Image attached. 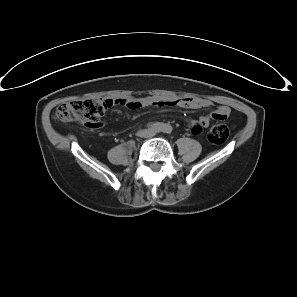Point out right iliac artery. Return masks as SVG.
Masks as SVG:
<instances>
[{
  "instance_id": "82829eb1",
  "label": "right iliac artery",
  "mask_w": 297,
  "mask_h": 297,
  "mask_svg": "<svg viewBox=\"0 0 297 297\" xmlns=\"http://www.w3.org/2000/svg\"><path fill=\"white\" fill-rule=\"evenodd\" d=\"M154 127H155L157 130L161 131V130L164 129V124L161 123V122H157V123L154 124Z\"/></svg>"
}]
</instances>
